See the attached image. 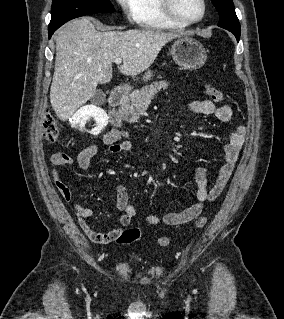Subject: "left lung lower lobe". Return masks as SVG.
Here are the masks:
<instances>
[{
  "instance_id": "0a47b994",
  "label": "left lung lower lobe",
  "mask_w": 284,
  "mask_h": 319,
  "mask_svg": "<svg viewBox=\"0 0 284 319\" xmlns=\"http://www.w3.org/2000/svg\"><path fill=\"white\" fill-rule=\"evenodd\" d=\"M230 32H232V31H230ZM232 33L235 35L237 41H239L240 33H237V32H232Z\"/></svg>"
}]
</instances>
